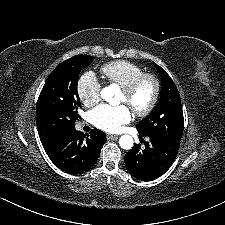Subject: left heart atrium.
I'll use <instances>...</instances> for the list:
<instances>
[{"instance_id": "obj_1", "label": "left heart atrium", "mask_w": 225, "mask_h": 225, "mask_svg": "<svg viewBox=\"0 0 225 225\" xmlns=\"http://www.w3.org/2000/svg\"><path fill=\"white\" fill-rule=\"evenodd\" d=\"M91 122L97 128L107 132H118L132 119V112L125 104L111 106L101 104L90 113Z\"/></svg>"}]
</instances>
